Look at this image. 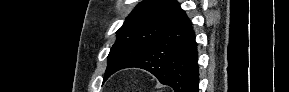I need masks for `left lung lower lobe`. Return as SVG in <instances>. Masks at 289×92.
I'll return each mask as SVG.
<instances>
[{
	"instance_id": "0a47b994",
	"label": "left lung lower lobe",
	"mask_w": 289,
	"mask_h": 92,
	"mask_svg": "<svg viewBox=\"0 0 289 92\" xmlns=\"http://www.w3.org/2000/svg\"><path fill=\"white\" fill-rule=\"evenodd\" d=\"M198 51L194 30L186 14L163 31L124 68L145 69L175 92H198ZM120 70V69H119ZM115 73V72H114Z\"/></svg>"
}]
</instances>
